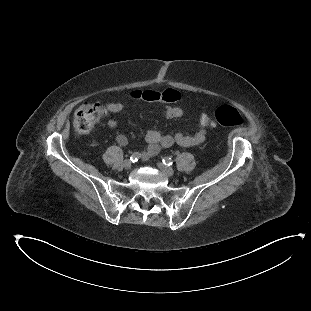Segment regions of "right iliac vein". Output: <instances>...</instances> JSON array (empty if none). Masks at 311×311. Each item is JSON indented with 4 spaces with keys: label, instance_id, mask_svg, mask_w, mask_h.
<instances>
[{
    "label": "right iliac vein",
    "instance_id": "63e3f726",
    "mask_svg": "<svg viewBox=\"0 0 311 311\" xmlns=\"http://www.w3.org/2000/svg\"><path fill=\"white\" fill-rule=\"evenodd\" d=\"M123 166L126 170H128L131 168L132 162L130 160H125Z\"/></svg>",
    "mask_w": 311,
    "mask_h": 311
}]
</instances>
